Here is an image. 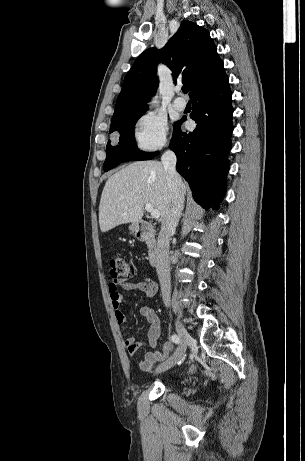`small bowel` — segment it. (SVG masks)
I'll list each match as a JSON object with an SVG mask.
<instances>
[{
    "instance_id": "small-bowel-1",
    "label": "small bowel",
    "mask_w": 305,
    "mask_h": 461,
    "mask_svg": "<svg viewBox=\"0 0 305 461\" xmlns=\"http://www.w3.org/2000/svg\"><path fill=\"white\" fill-rule=\"evenodd\" d=\"M120 289L126 291L139 290L146 293L147 296L153 297L158 291L157 284L149 279L144 278L139 281L131 280H112L109 284V298L111 306L114 310L115 319L119 324L125 322V315L120 309L122 302V294ZM141 316L146 320L150 325L147 333V344L153 349V351L147 352L144 356V359L139 363V368L143 371H150L154 364L165 360L170 352L173 350V345L171 343H165L163 346V351L157 349V342L160 337V320L155 310L149 306H143L140 308ZM143 342H139L135 337H128L125 340V346L130 355L136 354L137 350ZM196 372V366H192L189 370V373Z\"/></svg>"
}]
</instances>
